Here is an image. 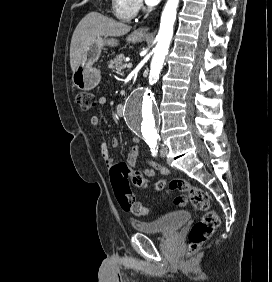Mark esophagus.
I'll use <instances>...</instances> for the list:
<instances>
[{
	"instance_id": "1",
	"label": "esophagus",
	"mask_w": 272,
	"mask_h": 282,
	"mask_svg": "<svg viewBox=\"0 0 272 282\" xmlns=\"http://www.w3.org/2000/svg\"><path fill=\"white\" fill-rule=\"evenodd\" d=\"M149 31V27H140L138 28L137 32L140 34H147Z\"/></svg>"
}]
</instances>
